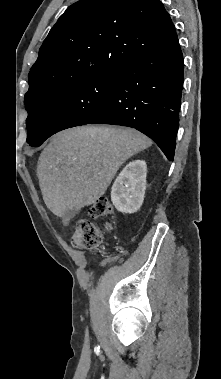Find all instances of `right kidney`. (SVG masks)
I'll use <instances>...</instances> for the list:
<instances>
[{
	"instance_id": "ca27d5eb",
	"label": "right kidney",
	"mask_w": 221,
	"mask_h": 379,
	"mask_svg": "<svg viewBox=\"0 0 221 379\" xmlns=\"http://www.w3.org/2000/svg\"><path fill=\"white\" fill-rule=\"evenodd\" d=\"M147 165L144 160L129 162L120 172L111 189V201L122 213L137 212L144 200Z\"/></svg>"
}]
</instances>
